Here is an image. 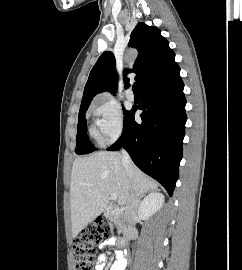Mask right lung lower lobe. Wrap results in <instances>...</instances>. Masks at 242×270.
Here are the masks:
<instances>
[{
  "instance_id": "obj_1",
  "label": "right lung lower lobe",
  "mask_w": 242,
  "mask_h": 270,
  "mask_svg": "<svg viewBox=\"0 0 242 270\" xmlns=\"http://www.w3.org/2000/svg\"><path fill=\"white\" fill-rule=\"evenodd\" d=\"M180 68L173 60L141 87L138 109L142 123L134 120L132 109L124 120L121 138L109 147H124L134 163L160 182L171 196L178 179L185 135L186 99Z\"/></svg>"
}]
</instances>
